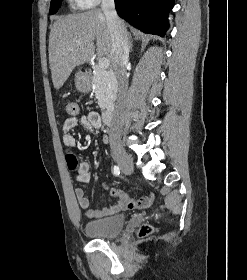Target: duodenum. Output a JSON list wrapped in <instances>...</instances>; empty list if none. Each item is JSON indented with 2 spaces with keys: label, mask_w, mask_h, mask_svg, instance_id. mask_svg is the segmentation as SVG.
Instances as JSON below:
<instances>
[{
  "label": "duodenum",
  "mask_w": 247,
  "mask_h": 280,
  "mask_svg": "<svg viewBox=\"0 0 247 280\" xmlns=\"http://www.w3.org/2000/svg\"><path fill=\"white\" fill-rule=\"evenodd\" d=\"M114 110L113 108H107L103 111L102 117L106 125L110 126L113 122Z\"/></svg>",
  "instance_id": "duodenum-1"
}]
</instances>
